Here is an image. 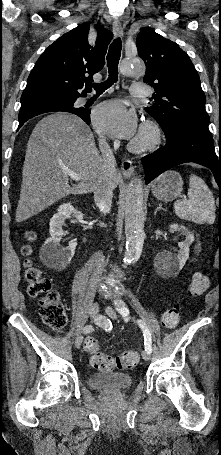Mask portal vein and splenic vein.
<instances>
[{
    "instance_id": "1",
    "label": "portal vein and splenic vein",
    "mask_w": 221,
    "mask_h": 455,
    "mask_svg": "<svg viewBox=\"0 0 221 455\" xmlns=\"http://www.w3.org/2000/svg\"><path fill=\"white\" fill-rule=\"evenodd\" d=\"M66 173L70 176L71 179H73L75 181H80L81 180V177L78 174H76L75 172H73V171L66 170Z\"/></svg>"
}]
</instances>
